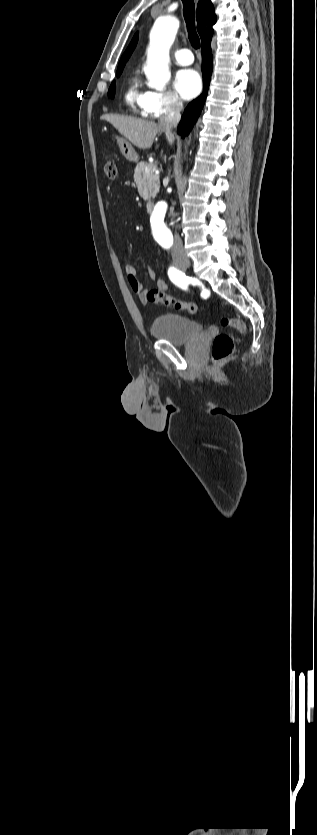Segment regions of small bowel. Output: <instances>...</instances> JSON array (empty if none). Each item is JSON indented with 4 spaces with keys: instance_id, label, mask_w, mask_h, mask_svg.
Here are the masks:
<instances>
[{
    "instance_id": "small-bowel-1",
    "label": "small bowel",
    "mask_w": 317,
    "mask_h": 835,
    "mask_svg": "<svg viewBox=\"0 0 317 835\" xmlns=\"http://www.w3.org/2000/svg\"><path fill=\"white\" fill-rule=\"evenodd\" d=\"M126 274L131 289L139 295L141 301H145L146 291L137 277L136 268L133 265L126 266ZM148 275L150 279L155 282L158 289L162 291H166L168 289L166 281L159 278L156 271L152 267L148 269Z\"/></svg>"
}]
</instances>
